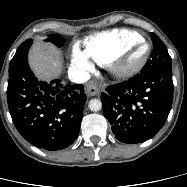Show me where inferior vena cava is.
<instances>
[{"instance_id":"1","label":"inferior vena cava","mask_w":187,"mask_h":187,"mask_svg":"<svg viewBox=\"0 0 187 187\" xmlns=\"http://www.w3.org/2000/svg\"><path fill=\"white\" fill-rule=\"evenodd\" d=\"M69 79L74 83H84L89 80L90 75L81 69L71 68L68 72Z\"/></svg>"}]
</instances>
